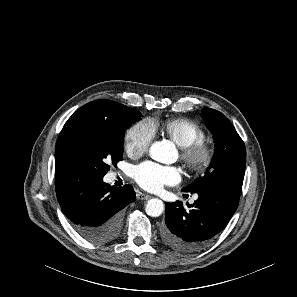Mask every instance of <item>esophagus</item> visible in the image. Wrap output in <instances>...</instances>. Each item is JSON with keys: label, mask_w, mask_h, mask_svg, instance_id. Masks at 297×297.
<instances>
[{"label": "esophagus", "mask_w": 297, "mask_h": 297, "mask_svg": "<svg viewBox=\"0 0 297 297\" xmlns=\"http://www.w3.org/2000/svg\"><path fill=\"white\" fill-rule=\"evenodd\" d=\"M136 198L138 200H147V199L151 198V196L146 193L138 192L136 195Z\"/></svg>", "instance_id": "34e87169"}]
</instances>
